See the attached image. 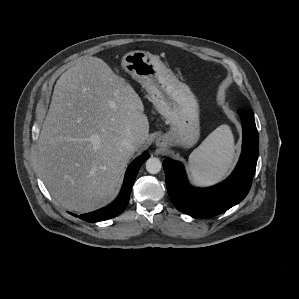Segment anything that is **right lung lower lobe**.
<instances>
[{"instance_id": "1", "label": "right lung lower lobe", "mask_w": 299, "mask_h": 299, "mask_svg": "<svg viewBox=\"0 0 299 299\" xmlns=\"http://www.w3.org/2000/svg\"><path fill=\"white\" fill-rule=\"evenodd\" d=\"M150 157L149 153L145 152L141 156L137 157L128 167L124 183L121 189V192L117 199L110 204L109 206L102 208L100 210L80 215L79 218L89 221V222H98L107 220L113 217H116L120 213H122L125 209V207L128 204L131 189L133 186V183L135 181V178L138 174V171L141 167V165ZM74 216H77L75 214H72Z\"/></svg>"}]
</instances>
